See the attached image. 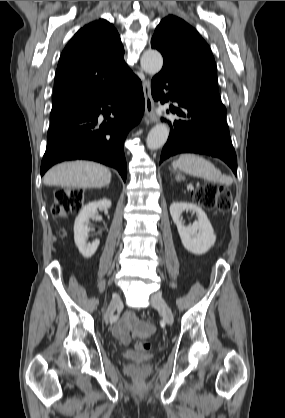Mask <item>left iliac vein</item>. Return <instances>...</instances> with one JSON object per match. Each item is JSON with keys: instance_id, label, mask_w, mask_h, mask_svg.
Returning <instances> with one entry per match:
<instances>
[{"instance_id": "1", "label": "left iliac vein", "mask_w": 285, "mask_h": 418, "mask_svg": "<svg viewBox=\"0 0 285 418\" xmlns=\"http://www.w3.org/2000/svg\"><path fill=\"white\" fill-rule=\"evenodd\" d=\"M151 304L162 314V317L166 323L171 324L173 322L172 310L160 294L152 295Z\"/></svg>"}]
</instances>
